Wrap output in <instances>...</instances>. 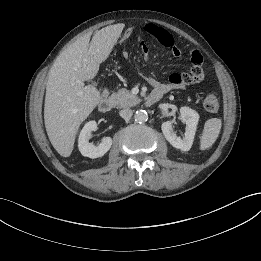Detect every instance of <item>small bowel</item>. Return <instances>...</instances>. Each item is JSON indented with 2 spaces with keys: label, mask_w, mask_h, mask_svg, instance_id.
I'll use <instances>...</instances> for the list:
<instances>
[{
  "label": "small bowel",
  "mask_w": 261,
  "mask_h": 261,
  "mask_svg": "<svg viewBox=\"0 0 261 261\" xmlns=\"http://www.w3.org/2000/svg\"><path fill=\"white\" fill-rule=\"evenodd\" d=\"M147 34L158 40L162 45L170 49L171 53L178 57L181 52L177 47L172 35L165 29L160 28L154 24H147L145 26ZM141 48L145 57L148 56V44L145 41L141 42ZM203 79L202 57L200 53L194 50L191 53V68L189 73H173L170 75L168 82L163 83L155 78H149V83L154 87L153 91L161 92L162 95L178 89H185L189 84H195Z\"/></svg>",
  "instance_id": "1"
}]
</instances>
